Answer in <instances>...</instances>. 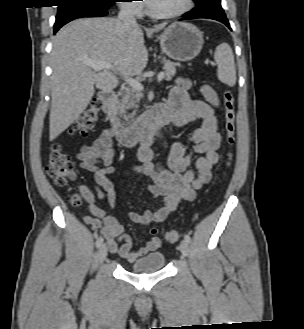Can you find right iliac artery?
I'll use <instances>...</instances> for the list:
<instances>
[{
  "label": "right iliac artery",
  "instance_id": "right-iliac-artery-1",
  "mask_svg": "<svg viewBox=\"0 0 304 329\" xmlns=\"http://www.w3.org/2000/svg\"><path fill=\"white\" fill-rule=\"evenodd\" d=\"M103 242V238L100 236L96 241V247H100Z\"/></svg>",
  "mask_w": 304,
  "mask_h": 329
}]
</instances>
